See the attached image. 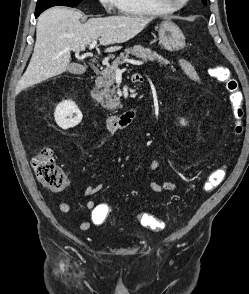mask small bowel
<instances>
[{
    "label": "small bowel",
    "instance_id": "c3829d8e",
    "mask_svg": "<svg viewBox=\"0 0 249 294\" xmlns=\"http://www.w3.org/2000/svg\"><path fill=\"white\" fill-rule=\"evenodd\" d=\"M178 65L188 79L195 83H199V77L197 75V72L187 60L178 59ZM159 166L160 161L158 159L151 160L149 164V174H152L154 171H156L159 168ZM149 187L153 192L162 193L165 191H173L177 189L178 184L171 181L151 179L149 180ZM101 189V184H91L85 188L84 194L86 196H93L97 194ZM106 206L107 204L97 203L94 200H88L85 204V208L90 213V221L81 222L79 225L80 229L86 231L91 227V225H102L108 217V214L106 213ZM58 208L63 213H68L71 211V205L63 201L58 203Z\"/></svg>",
    "mask_w": 249,
    "mask_h": 294
}]
</instances>
